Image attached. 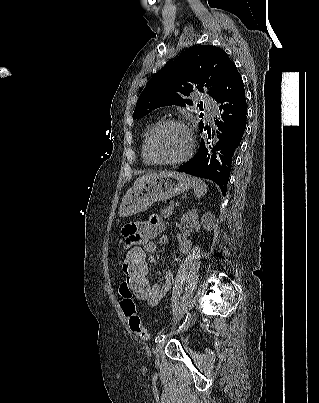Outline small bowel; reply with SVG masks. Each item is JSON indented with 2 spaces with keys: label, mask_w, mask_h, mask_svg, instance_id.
Wrapping results in <instances>:
<instances>
[{
  "label": "small bowel",
  "mask_w": 319,
  "mask_h": 403,
  "mask_svg": "<svg viewBox=\"0 0 319 403\" xmlns=\"http://www.w3.org/2000/svg\"><path fill=\"white\" fill-rule=\"evenodd\" d=\"M165 224L159 216H152L147 223H130L121 225V242L123 247L133 246L134 241L141 243V249L144 250V257L148 258L150 263L156 264L152 257L156 250L157 244L154 239L158 237V242L161 245L168 243V236L164 233ZM148 264V260H147ZM174 282L173 274L169 268L165 270L164 285L161 286L158 282L153 283V293L149 300L146 301L150 306H156L165 297L167 291L171 288ZM128 296H132L135 303V291L130 290Z\"/></svg>",
  "instance_id": "1"
}]
</instances>
